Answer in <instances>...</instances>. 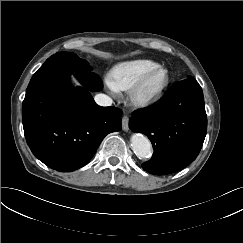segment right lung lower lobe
<instances>
[{
	"instance_id": "1",
	"label": "right lung lower lobe",
	"mask_w": 243,
	"mask_h": 243,
	"mask_svg": "<svg viewBox=\"0 0 243 243\" xmlns=\"http://www.w3.org/2000/svg\"><path fill=\"white\" fill-rule=\"evenodd\" d=\"M73 73L84 88L70 85ZM102 87L91 71L39 69L33 75L22 122L26 141L40 161L57 171H74L88 163L107 134L121 130V110L98 106L90 94Z\"/></svg>"
}]
</instances>
